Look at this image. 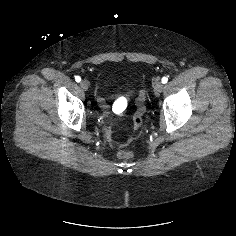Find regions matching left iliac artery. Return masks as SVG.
<instances>
[{
  "label": "left iliac artery",
  "instance_id": "left-iliac-artery-1",
  "mask_svg": "<svg viewBox=\"0 0 236 236\" xmlns=\"http://www.w3.org/2000/svg\"><path fill=\"white\" fill-rule=\"evenodd\" d=\"M167 82H168V78H167V77H163V78H162V83L165 84V83H167Z\"/></svg>",
  "mask_w": 236,
  "mask_h": 236
}]
</instances>
